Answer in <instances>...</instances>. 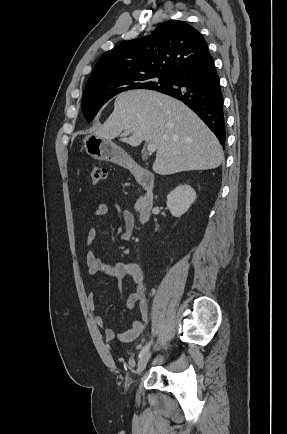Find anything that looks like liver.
I'll use <instances>...</instances> for the list:
<instances>
[{"instance_id":"6515ba94","label":"liver","mask_w":287,"mask_h":434,"mask_svg":"<svg viewBox=\"0 0 287 434\" xmlns=\"http://www.w3.org/2000/svg\"><path fill=\"white\" fill-rule=\"evenodd\" d=\"M138 146L142 141L157 147L152 169L160 175L208 170L221 165L224 154L216 136L182 102L151 90L119 94L114 110L95 134L107 140Z\"/></svg>"}]
</instances>
